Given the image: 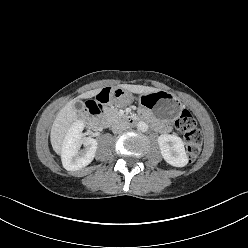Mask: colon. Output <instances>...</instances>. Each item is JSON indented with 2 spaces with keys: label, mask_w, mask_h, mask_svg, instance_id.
Returning <instances> with one entry per match:
<instances>
[{
  "label": "colon",
  "mask_w": 248,
  "mask_h": 248,
  "mask_svg": "<svg viewBox=\"0 0 248 248\" xmlns=\"http://www.w3.org/2000/svg\"><path fill=\"white\" fill-rule=\"evenodd\" d=\"M175 125L184 134L187 158L189 162H192L199 155L202 146V136L196 121L188 110H183Z\"/></svg>",
  "instance_id": "5ec220e1"
}]
</instances>
